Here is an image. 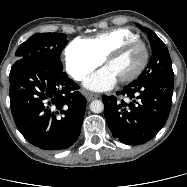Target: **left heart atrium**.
I'll list each match as a JSON object with an SVG mask.
<instances>
[{
  "label": "left heart atrium",
  "mask_w": 187,
  "mask_h": 187,
  "mask_svg": "<svg viewBox=\"0 0 187 187\" xmlns=\"http://www.w3.org/2000/svg\"><path fill=\"white\" fill-rule=\"evenodd\" d=\"M117 81L118 78L114 72L108 66H105L89 76L84 85L93 91H104L112 88Z\"/></svg>",
  "instance_id": "1"
}]
</instances>
